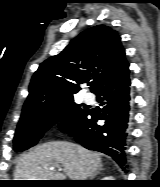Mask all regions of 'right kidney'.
<instances>
[{
	"mask_svg": "<svg viewBox=\"0 0 160 187\" xmlns=\"http://www.w3.org/2000/svg\"><path fill=\"white\" fill-rule=\"evenodd\" d=\"M103 180H113V178L111 176H108V177L103 178Z\"/></svg>",
	"mask_w": 160,
	"mask_h": 187,
	"instance_id": "obj_1",
	"label": "right kidney"
}]
</instances>
